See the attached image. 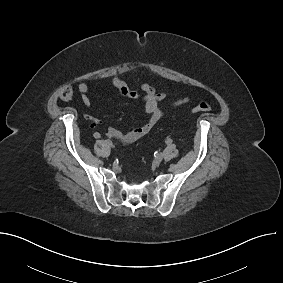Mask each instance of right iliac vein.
Segmentation results:
<instances>
[{
    "instance_id": "right-iliac-vein-1",
    "label": "right iliac vein",
    "mask_w": 283,
    "mask_h": 283,
    "mask_svg": "<svg viewBox=\"0 0 283 283\" xmlns=\"http://www.w3.org/2000/svg\"><path fill=\"white\" fill-rule=\"evenodd\" d=\"M106 144H107L108 146H110V147H112V145H113L110 140H106Z\"/></svg>"
}]
</instances>
